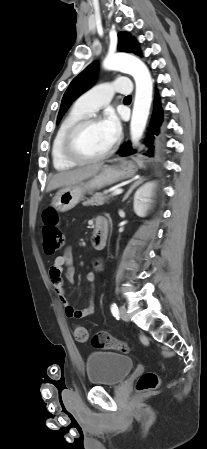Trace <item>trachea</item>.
Listing matches in <instances>:
<instances>
[{"instance_id":"3493384b","label":"trachea","mask_w":207,"mask_h":449,"mask_svg":"<svg viewBox=\"0 0 207 449\" xmlns=\"http://www.w3.org/2000/svg\"><path fill=\"white\" fill-rule=\"evenodd\" d=\"M131 95L126 96L124 99H131Z\"/></svg>"}]
</instances>
